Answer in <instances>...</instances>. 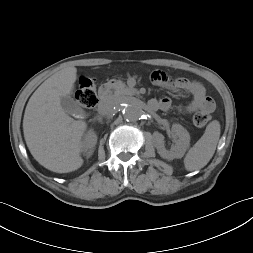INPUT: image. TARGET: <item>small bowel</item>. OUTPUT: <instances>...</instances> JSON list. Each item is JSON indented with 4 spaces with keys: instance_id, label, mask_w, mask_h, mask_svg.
Listing matches in <instances>:
<instances>
[{
    "instance_id": "1",
    "label": "small bowel",
    "mask_w": 253,
    "mask_h": 253,
    "mask_svg": "<svg viewBox=\"0 0 253 253\" xmlns=\"http://www.w3.org/2000/svg\"><path fill=\"white\" fill-rule=\"evenodd\" d=\"M152 81L157 86L192 95L191 102L186 106L180 107V111L183 113L191 114L198 111L211 113L215 108L213 99L207 96L205 87L197 81L186 78H176L172 80L169 75L163 71H155L152 74ZM171 104L172 102L167 96L149 101V107L152 110L159 109L167 111L171 108Z\"/></svg>"
}]
</instances>
